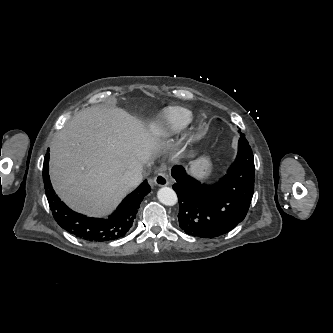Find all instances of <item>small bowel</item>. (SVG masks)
<instances>
[{"label": "small bowel", "instance_id": "1", "mask_svg": "<svg viewBox=\"0 0 333 333\" xmlns=\"http://www.w3.org/2000/svg\"><path fill=\"white\" fill-rule=\"evenodd\" d=\"M233 145H234V153L240 154L241 153V146H240V138L234 137L233 138Z\"/></svg>", "mask_w": 333, "mask_h": 333}]
</instances>
